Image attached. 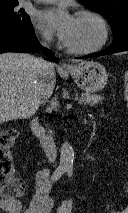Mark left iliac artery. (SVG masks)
Wrapping results in <instances>:
<instances>
[{
	"label": "left iliac artery",
	"instance_id": "left-iliac-artery-1",
	"mask_svg": "<svg viewBox=\"0 0 128 213\" xmlns=\"http://www.w3.org/2000/svg\"><path fill=\"white\" fill-rule=\"evenodd\" d=\"M72 166L71 165H68L67 167H66V172H67V174H68V176H72Z\"/></svg>",
	"mask_w": 128,
	"mask_h": 213
}]
</instances>
